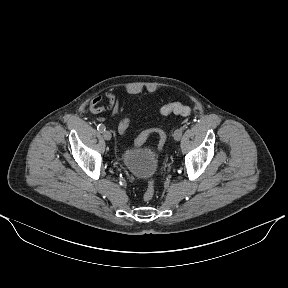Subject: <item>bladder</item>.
<instances>
[{
  "instance_id": "bladder-1",
  "label": "bladder",
  "mask_w": 288,
  "mask_h": 288,
  "mask_svg": "<svg viewBox=\"0 0 288 288\" xmlns=\"http://www.w3.org/2000/svg\"><path fill=\"white\" fill-rule=\"evenodd\" d=\"M124 167L137 179H147L154 175L158 168V156L150 148L125 150L121 154Z\"/></svg>"
}]
</instances>
